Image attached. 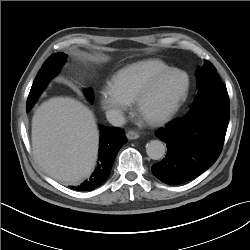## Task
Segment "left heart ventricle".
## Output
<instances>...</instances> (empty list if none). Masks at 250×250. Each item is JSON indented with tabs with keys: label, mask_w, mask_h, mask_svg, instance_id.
Returning <instances> with one entry per match:
<instances>
[{
	"label": "left heart ventricle",
	"mask_w": 250,
	"mask_h": 250,
	"mask_svg": "<svg viewBox=\"0 0 250 250\" xmlns=\"http://www.w3.org/2000/svg\"><path fill=\"white\" fill-rule=\"evenodd\" d=\"M185 82L183 74H173L162 80L143 104L142 116L148 119L163 113L182 93Z\"/></svg>",
	"instance_id": "1"
}]
</instances>
